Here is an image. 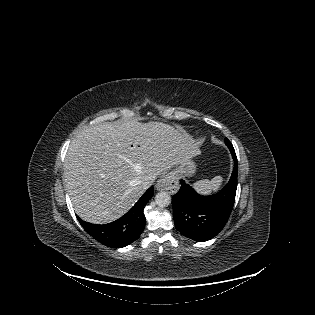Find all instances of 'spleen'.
<instances>
[{
  "label": "spleen",
  "mask_w": 315,
  "mask_h": 315,
  "mask_svg": "<svg viewBox=\"0 0 315 315\" xmlns=\"http://www.w3.org/2000/svg\"><path fill=\"white\" fill-rule=\"evenodd\" d=\"M222 182L223 178L221 176H216L211 180H199L193 184V187L198 193L202 195H209L212 192L218 191L221 187Z\"/></svg>",
  "instance_id": "obj_1"
}]
</instances>
